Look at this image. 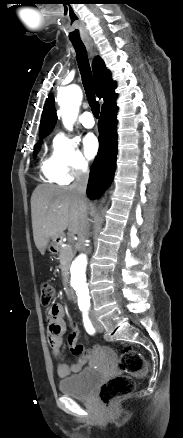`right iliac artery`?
I'll return each mask as SVG.
<instances>
[{
	"label": "right iliac artery",
	"mask_w": 183,
	"mask_h": 438,
	"mask_svg": "<svg viewBox=\"0 0 183 438\" xmlns=\"http://www.w3.org/2000/svg\"><path fill=\"white\" fill-rule=\"evenodd\" d=\"M81 311L83 312L84 327L90 335H93L95 333V329L93 328L91 321L89 319L88 309H81Z\"/></svg>",
	"instance_id": "82829eb1"
}]
</instances>
